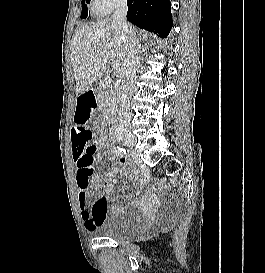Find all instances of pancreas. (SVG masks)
Instances as JSON below:
<instances>
[{
	"mask_svg": "<svg viewBox=\"0 0 265 273\" xmlns=\"http://www.w3.org/2000/svg\"><path fill=\"white\" fill-rule=\"evenodd\" d=\"M100 91L103 110L106 111L113 109L117 91V83L113 82L111 78H106L100 83Z\"/></svg>",
	"mask_w": 265,
	"mask_h": 273,
	"instance_id": "pancreas-1",
	"label": "pancreas"
}]
</instances>
